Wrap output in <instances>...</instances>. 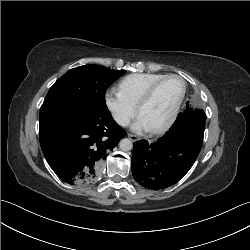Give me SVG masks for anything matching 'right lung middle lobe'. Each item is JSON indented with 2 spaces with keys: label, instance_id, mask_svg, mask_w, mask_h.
<instances>
[{
  "label": "right lung middle lobe",
  "instance_id": "1",
  "mask_svg": "<svg viewBox=\"0 0 250 250\" xmlns=\"http://www.w3.org/2000/svg\"><path fill=\"white\" fill-rule=\"evenodd\" d=\"M125 72L98 65H85L69 70L50 88L40 108L39 119L73 106L107 109L105 92Z\"/></svg>",
  "mask_w": 250,
  "mask_h": 250
}]
</instances>
